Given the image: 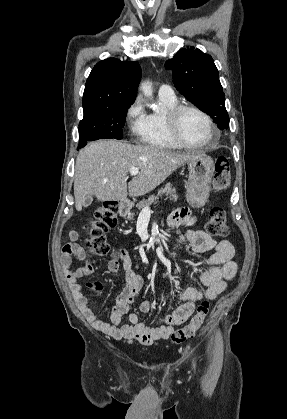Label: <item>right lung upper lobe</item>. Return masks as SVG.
<instances>
[{
	"label": "right lung upper lobe",
	"mask_w": 287,
	"mask_h": 419,
	"mask_svg": "<svg viewBox=\"0 0 287 419\" xmlns=\"http://www.w3.org/2000/svg\"><path fill=\"white\" fill-rule=\"evenodd\" d=\"M141 68L137 62L106 59L92 69L83 94V111L134 103Z\"/></svg>",
	"instance_id": "obj_1"
}]
</instances>
